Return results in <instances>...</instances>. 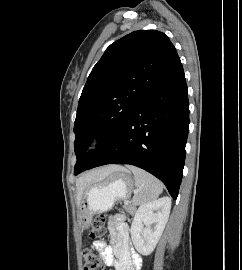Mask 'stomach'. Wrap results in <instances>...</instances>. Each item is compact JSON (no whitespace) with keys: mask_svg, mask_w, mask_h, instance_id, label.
Instances as JSON below:
<instances>
[{"mask_svg":"<svg viewBox=\"0 0 242 270\" xmlns=\"http://www.w3.org/2000/svg\"><path fill=\"white\" fill-rule=\"evenodd\" d=\"M133 187L128 170H117L104 180L88 186L80 205L79 224L82 230L88 229L95 214L108 211L115 201L127 198Z\"/></svg>","mask_w":242,"mask_h":270,"instance_id":"1","label":"stomach"}]
</instances>
